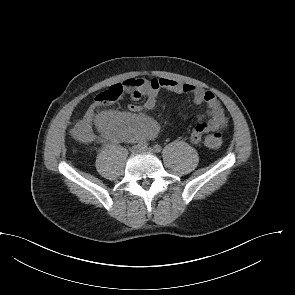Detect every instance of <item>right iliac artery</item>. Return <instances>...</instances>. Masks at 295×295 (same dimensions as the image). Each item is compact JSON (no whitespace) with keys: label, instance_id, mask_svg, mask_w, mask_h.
<instances>
[{"label":"right iliac artery","instance_id":"1","mask_svg":"<svg viewBox=\"0 0 295 295\" xmlns=\"http://www.w3.org/2000/svg\"><path fill=\"white\" fill-rule=\"evenodd\" d=\"M138 145H139L140 147H141V146H142V147H143V146L145 147V146L147 145V143H145V142H144V143H143V142L141 143V142H140Z\"/></svg>","mask_w":295,"mask_h":295}]
</instances>
